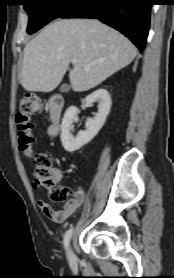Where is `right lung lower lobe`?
I'll return each mask as SVG.
<instances>
[{"mask_svg": "<svg viewBox=\"0 0 174 278\" xmlns=\"http://www.w3.org/2000/svg\"><path fill=\"white\" fill-rule=\"evenodd\" d=\"M152 0H78L60 18H95L145 48Z\"/></svg>", "mask_w": 174, "mask_h": 278, "instance_id": "98d812e1", "label": "right lung lower lobe"}]
</instances>
